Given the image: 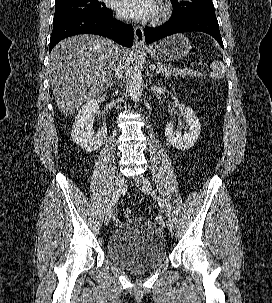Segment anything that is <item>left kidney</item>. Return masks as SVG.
Wrapping results in <instances>:
<instances>
[{
  "instance_id": "left-kidney-1",
  "label": "left kidney",
  "mask_w": 272,
  "mask_h": 303,
  "mask_svg": "<svg viewBox=\"0 0 272 303\" xmlns=\"http://www.w3.org/2000/svg\"><path fill=\"white\" fill-rule=\"evenodd\" d=\"M183 117L189 129L183 136L181 132L174 130L172 122H168L165 127V137L167 141L170 145L179 150L193 147L198 140L201 131L199 119L190 107H186Z\"/></svg>"
}]
</instances>
